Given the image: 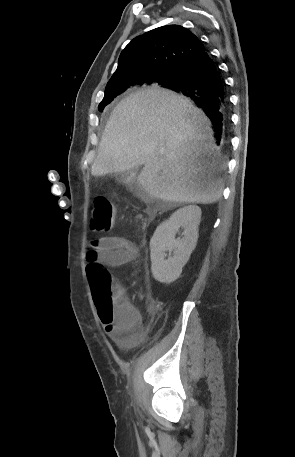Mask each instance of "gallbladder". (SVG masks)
<instances>
[{
    "mask_svg": "<svg viewBox=\"0 0 295 457\" xmlns=\"http://www.w3.org/2000/svg\"><path fill=\"white\" fill-rule=\"evenodd\" d=\"M117 180H125L124 176L121 174L116 175Z\"/></svg>",
    "mask_w": 295,
    "mask_h": 457,
    "instance_id": "bac80fb5",
    "label": "gallbladder"
}]
</instances>
